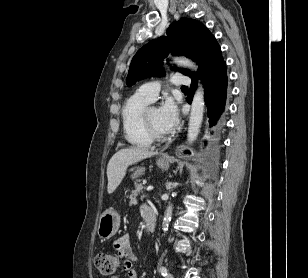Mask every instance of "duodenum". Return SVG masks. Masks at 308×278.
Wrapping results in <instances>:
<instances>
[{"mask_svg":"<svg viewBox=\"0 0 308 278\" xmlns=\"http://www.w3.org/2000/svg\"><path fill=\"white\" fill-rule=\"evenodd\" d=\"M145 219L148 225V228L151 232H154L156 229V216L153 212L145 215Z\"/></svg>","mask_w":308,"mask_h":278,"instance_id":"1","label":"duodenum"}]
</instances>
